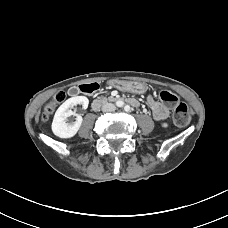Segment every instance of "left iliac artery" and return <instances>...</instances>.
<instances>
[{"mask_svg": "<svg viewBox=\"0 0 228 228\" xmlns=\"http://www.w3.org/2000/svg\"><path fill=\"white\" fill-rule=\"evenodd\" d=\"M124 109H125V111H129L130 107H129L128 105H126V106L124 107Z\"/></svg>", "mask_w": 228, "mask_h": 228, "instance_id": "1", "label": "left iliac artery"}]
</instances>
